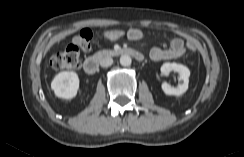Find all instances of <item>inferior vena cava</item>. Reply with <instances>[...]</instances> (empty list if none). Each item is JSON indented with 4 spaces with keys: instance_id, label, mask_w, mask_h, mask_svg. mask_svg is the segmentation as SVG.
I'll list each match as a JSON object with an SVG mask.
<instances>
[{
    "instance_id": "inferior-vena-cava-1",
    "label": "inferior vena cava",
    "mask_w": 244,
    "mask_h": 157,
    "mask_svg": "<svg viewBox=\"0 0 244 157\" xmlns=\"http://www.w3.org/2000/svg\"><path fill=\"white\" fill-rule=\"evenodd\" d=\"M113 64V59L109 56L104 57L101 61H100V65L101 67H109Z\"/></svg>"
}]
</instances>
